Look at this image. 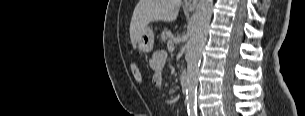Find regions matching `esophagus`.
Here are the masks:
<instances>
[{"label":"esophagus","mask_w":305,"mask_h":116,"mask_svg":"<svg viewBox=\"0 0 305 116\" xmlns=\"http://www.w3.org/2000/svg\"><path fill=\"white\" fill-rule=\"evenodd\" d=\"M198 0H185L184 8L187 10H194L197 6Z\"/></svg>","instance_id":"34e87169"}]
</instances>
